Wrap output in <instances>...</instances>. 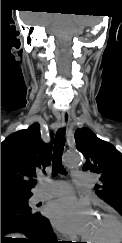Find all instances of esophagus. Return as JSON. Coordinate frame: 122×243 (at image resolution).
Instances as JSON below:
<instances>
[{
  "label": "esophagus",
  "instance_id": "esophagus-1",
  "mask_svg": "<svg viewBox=\"0 0 122 243\" xmlns=\"http://www.w3.org/2000/svg\"><path fill=\"white\" fill-rule=\"evenodd\" d=\"M70 121V114L68 111H63L61 114V122L63 126H66Z\"/></svg>",
  "mask_w": 122,
  "mask_h": 243
}]
</instances>
